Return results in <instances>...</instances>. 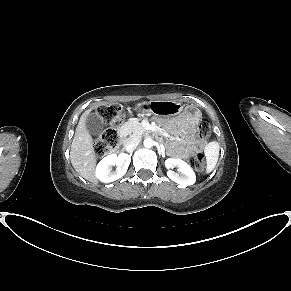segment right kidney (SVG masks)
Instances as JSON below:
<instances>
[{"instance_id":"obj_1","label":"right kidney","mask_w":291,"mask_h":291,"mask_svg":"<svg viewBox=\"0 0 291 291\" xmlns=\"http://www.w3.org/2000/svg\"><path fill=\"white\" fill-rule=\"evenodd\" d=\"M131 162L130 155L121 153L119 155L110 154L104 157L96 166L95 176L101 182L109 183L113 182L127 172L129 164ZM117 166L116 171H112V166Z\"/></svg>"}]
</instances>
